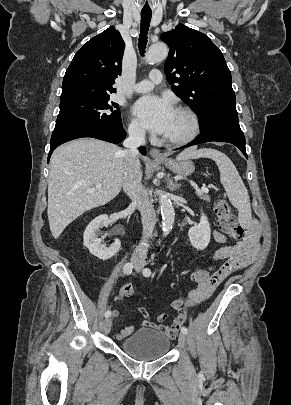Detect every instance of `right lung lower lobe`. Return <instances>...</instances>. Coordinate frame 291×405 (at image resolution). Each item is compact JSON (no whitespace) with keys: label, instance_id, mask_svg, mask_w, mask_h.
<instances>
[{"label":"right lung lower lobe","instance_id":"98d812e1","mask_svg":"<svg viewBox=\"0 0 291 405\" xmlns=\"http://www.w3.org/2000/svg\"><path fill=\"white\" fill-rule=\"evenodd\" d=\"M126 136V132L123 129V126H120L118 128L114 129H108V130H82V131H77L65 136H62L56 140L51 141L50 144V152H49V157L48 161L50 159V155L52 154L53 150L58 147L59 145L73 140L77 138H82V137H92L100 140H104L110 143H120ZM140 152L142 154H146L145 148L140 147L139 148Z\"/></svg>","mask_w":291,"mask_h":405}]
</instances>
